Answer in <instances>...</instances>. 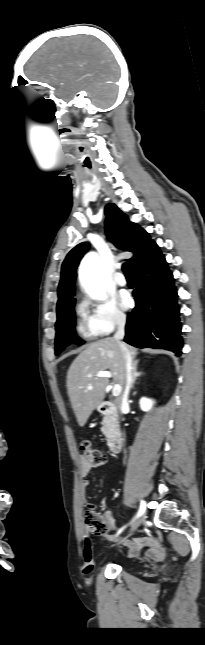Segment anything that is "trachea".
Instances as JSON below:
<instances>
[{
	"label": "trachea",
	"instance_id": "1",
	"mask_svg": "<svg viewBox=\"0 0 205 645\" xmlns=\"http://www.w3.org/2000/svg\"><path fill=\"white\" fill-rule=\"evenodd\" d=\"M122 270L126 276H133L132 265L129 262H126L122 266Z\"/></svg>",
	"mask_w": 205,
	"mask_h": 645
}]
</instances>
